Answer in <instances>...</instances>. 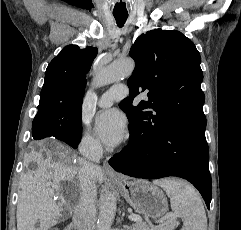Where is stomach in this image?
I'll return each mask as SVG.
<instances>
[{
  "instance_id": "obj_1",
  "label": "stomach",
  "mask_w": 241,
  "mask_h": 230,
  "mask_svg": "<svg viewBox=\"0 0 241 230\" xmlns=\"http://www.w3.org/2000/svg\"><path fill=\"white\" fill-rule=\"evenodd\" d=\"M123 197L134 210L147 218L156 219L168 211L165 194L157 186L145 180L124 179L116 182Z\"/></svg>"
}]
</instances>
